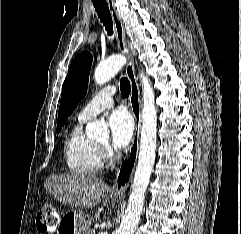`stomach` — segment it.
I'll return each instance as SVG.
<instances>
[{"instance_id": "0dacf381", "label": "stomach", "mask_w": 241, "mask_h": 234, "mask_svg": "<svg viewBox=\"0 0 241 234\" xmlns=\"http://www.w3.org/2000/svg\"><path fill=\"white\" fill-rule=\"evenodd\" d=\"M112 201H119L120 197L111 196ZM61 231H66L69 234H86L88 223L82 212L71 211L63 217L60 224Z\"/></svg>"}]
</instances>
